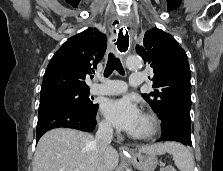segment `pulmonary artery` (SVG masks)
<instances>
[{
	"instance_id": "1",
	"label": "pulmonary artery",
	"mask_w": 223,
	"mask_h": 171,
	"mask_svg": "<svg viewBox=\"0 0 223 171\" xmlns=\"http://www.w3.org/2000/svg\"><path fill=\"white\" fill-rule=\"evenodd\" d=\"M143 82V75L140 72L131 74L129 83L132 86H139ZM127 90V84L121 80L100 79V83L92 85L90 92L95 95H118Z\"/></svg>"
}]
</instances>
